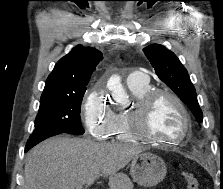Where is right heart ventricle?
Segmentation results:
<instances>
[{
	"mask_svg": "<svg viewBox=\"0 0 223 189\" xmlns=\"http://www.w3.org/2000/svg\"><path fill=\"white\" fill-rule=\"evenodd\" d=\"M129 89L133 94V96L136 99H139L146 93L151 91V86L149 83H147L146 85L143 86L129 87ZM128 116H129V111H119L117 113H114V120L110 136L123 142H132L136 140V138L131 133Z\"/></svg>",
	"mask_w": 223,
	"mask_h": 189,
	"instance_id": "right-heart-ventricle-1",
	"label": "right heart ventricle"
}]
</instances>
